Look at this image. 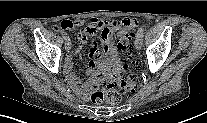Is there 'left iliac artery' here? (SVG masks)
Listing matches in <instances>:
<instances>
[{"mask_svg":"<svg viewBox=\"0 0 207 123\" xmlns=\"http://www.w3.org/2000/svg\"><path fill=\"white\" fill-rule=\"evenodd\" d=\"M143 34H144V28L141 27V28H139L137 35H140L141 37H143Z\"/></svg>","mask_w":207,"mask_h":123,"instance_id":"left-iliac-artery-1","label":"left iliac artery"}]
</instances>
